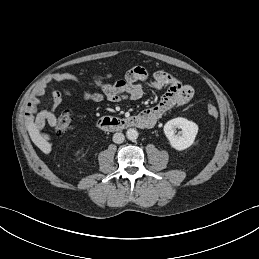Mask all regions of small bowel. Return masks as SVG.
<instances>
[{
    "label": "small bowel",
    "mask_w": 259,
    "mask_h": 259,
    "mask_svg": "<svg viewBox=\"0 0 259 259\" xmlns=\"http://www.w3.org/2000/svg\"><path fill=\"white\" fill-rule=\"evenodd\" d=\"M52 80L65 82L77 80V77L70 72H58L53 74ZM146 88L166 90L158 104L141 112L151 120L152 126L172 108L185 106L194 95V89L191 85L168 72L156 71L150 75L144 67L135 66L126 71L122 80L113 84H102L98 92L84 89L82 97L86 101L93 102H99L103 99L111 102H120L125 99L137 100L142 97ZM46 93L47 84L39 85L30 98L26 109L29 124L38 131L43 130L45 125L51 128L55 126L57 118L54 112L61 103L60 93L53 90L51 92V107L39 110L41 99Z\"/></svg>",
    "instance_id": "small-bowel-1"
}]
</instances>
